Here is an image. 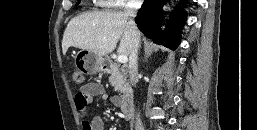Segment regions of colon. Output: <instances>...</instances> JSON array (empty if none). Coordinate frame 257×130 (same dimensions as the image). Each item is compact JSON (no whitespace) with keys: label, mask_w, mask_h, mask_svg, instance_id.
Listing matches in <instances>:
<instances>
[{"label":"colon","mask_w":257,"mask_h":130,"mask_svg":"<svg viewBox=\"0 0 257 130\" xmlns=\"http://www.w3.org/2000/svg\"><path fill=\"white\" fill-rule=\"evenodd\" d=\"M72 81L77 85L83 84L85 81L84 73L80 69L73 70Z\"/></svg>","instance_id":"5ec220e1"}]
</instances>
